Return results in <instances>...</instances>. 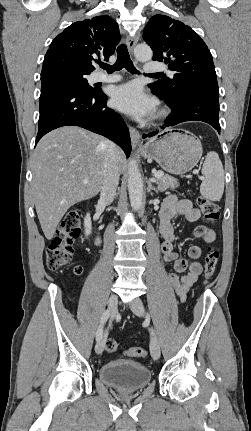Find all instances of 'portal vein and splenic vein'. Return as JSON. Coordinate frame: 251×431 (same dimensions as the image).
Instances as JSON below:
<instances>
[{"label":"portal vein and splenic vein","instance_id":"1","mask_svg":"<svg viewBox=\"0 0 251 431\" xmlns=\"http://www.w3.org/2000/svg\"><path fill=\"white\" fill-rule=\"evenodd\" d=\"M163 175V172H157V173H155V178L157 179V178H160L161 176ZM153 180H155V179H153ZM83 183L84 184H87L88 183V180L87 179H85V180H83Z\"/></svg>","mask_w":251,"mask_h":431}]
</instances>
